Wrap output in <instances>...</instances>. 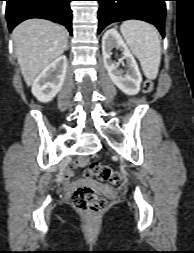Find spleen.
Instances as JSON below:
<instances>
[{
    "label": "spleen",
    "instance_id": "1",
    "mask_svg": "<svg viewBox=\"0 0 194 253\" xmlns=\"http://www.w3.org/2000/svg\"><path fill=\"white\" fill-rule=\"evenodd\" d=\"M120 31L132 53L140 61L146 78L157 77L161 61V45L156 29L144 21H124Z\"/></svg>",
    "mask_w": 194,
    "mask_h": 253
}]
</instances>
